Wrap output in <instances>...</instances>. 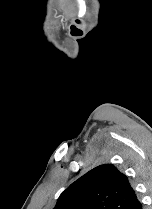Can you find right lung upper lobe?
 <instances>
[{
    "mask_svg": "<svg viewBox=\"0 0 152 209\" xmlns=\"http://www.w3.org/2000/svg\"><path fill=\"white\" fill-rule=\"evenodd\" d=\"M135 199L126 175L113 164H103L64 190L54 209H129Z\"/></svg>",
    "mask_w": 152,
    "mask_h": 209,
    "instance_id": "1",
    "label": "right lung upper lobe"
}]
</instances>
